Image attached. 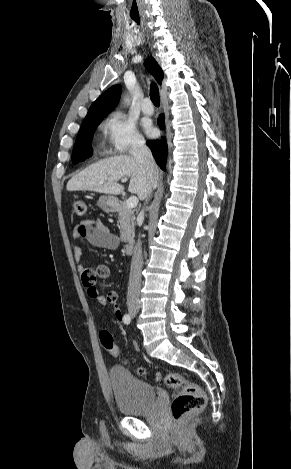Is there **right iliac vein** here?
I'll return each mask as SVG.
<instances>
[{
	"label": "right iliac vein",
	"instance_id": "right-iliac-vein-1",
	"mask_svg": "<svg viewBox=\"0 0 291 469\" xmlns=\"http://www.w3.org/2000/svg\"><path fill=\"white\" fill-rule=\"evenodd\" d=\"M138 311V308L136 306H130L129 307V313L132 315V316H135L136 313Z\"/></svg>",
	"mask_w": 291,
	"mask_h": 469
}]
</instances>
